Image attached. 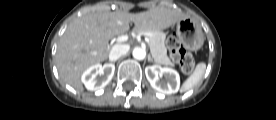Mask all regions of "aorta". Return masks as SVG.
<instances>
[{
  "label": "aorta",
  "mask_w": 276,
  "mask_h": 120,
  "mask_svg": "<svg viewBox=\"0 0 276 120\" xmlns=\"http://www.w3.org/2000/svg\"><path fill=\"white\" fill-rule=\"evenodd\" d=\"M132 54L135 59L143 60L146 57V50L142 47H136Z\"/></svg>",
  "instance_id": "aorta-1"
}]
</instances>
